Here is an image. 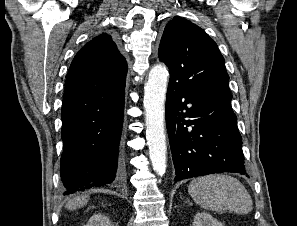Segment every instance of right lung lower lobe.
<instances>
[{"mask_svg":"<svg viewBox=\"0 0 297 226\" xmlns=\"http://www.w3.org/2000/svg\"><path fill=\"white\" fill-rule=\"evenodd\" d=\"M124 94L122 86L63 99L60 175L64 195L121 182Z\"/></svg>","mask_w":297,"mask_h":226,"instance_id":"1","label":"right lung lower lobe"}]
</instances>
